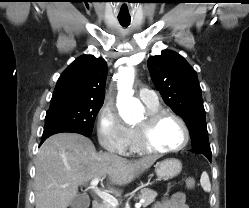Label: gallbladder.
Wrapping results in <instances>:
<instances>
[{
    "label": "gallbladder",
    "instance_id": "bac80fb5",
    "mask_svg": "<svg viewBox=\"0 0 249 208\" xmlns=\"http://www.w3.org/2000/svg\"><path fill=\"white\" fill-rule=\"evenodd\" d=\"M90 205V199L85 194H78L70 203L71 208H88Z\"/></svg>",
    "mask_w": 249,
    "mask_h": 208
}]
</instances>
